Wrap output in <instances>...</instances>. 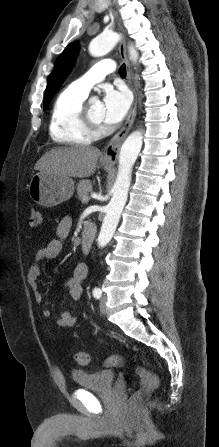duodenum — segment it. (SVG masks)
<instances>
[{
  "label": "duodenum",
  "instance_id": "obj_1",
  "mask_svg": "<svg viewBox=\"0 0 219 447\" xmlns=\"http://www.w3.org/2000/svg\"><path fill=\"white\" fill-rule=\"evenodd\" d=\"M96 226L93 223H88L81 233V250L84 254H88L91 248L92 241L95 237Z\"/></svg>",
  "mask_w": 219,
  "mask_h": 447
}]
</instances>
